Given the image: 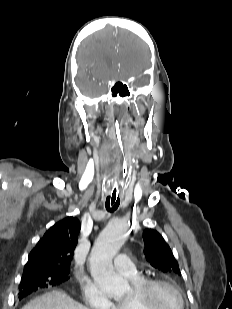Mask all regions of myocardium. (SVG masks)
Returning a JSON list of instances; mask_svg holds the SVG:
<instances>
[{
  "mask_svg": "<svg viewBox=\"0 0 232 309\" xmlns=\"http://www.w3.org/2000/svg\"><path fill=\"white\" fill-rule=\"evenodd\" d=\"M160 286H166L175 291L181 301L180 309H185L186 300L180 288L162 278H145L140 285L133 289L131 299L139 307V309H159L155 303V291Z\"/></svg>",
  "mask_w": 232,
  "mask_h": 309,
  "instance_id": "obj_1",
  "label": "myocardium"
}]
</instances>
